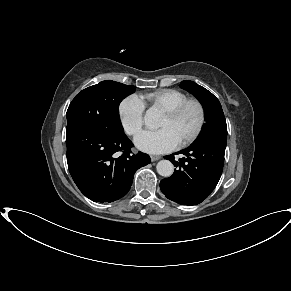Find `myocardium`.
I'll list each match as a JSON object with an SVG mask.
<instances>
[{"label": "myocardium", "instance_id": "obj_1", "mask_svg": "<svg viewBox=\"0 0 291 291\" xmlns=\"http://www.w3.org/2000/svg\"><path fill=\"white\" fill-rule=\"evenodd\" d=\"M190 106L197 107V109L199 111L198 124H197L196 129L194 130V132L190 136H188L186 139H184L183 141L178 143L179 147H186V146L192 144L201 135V133L204 129V126H205V122H206L205 107L202 104V102L199 101L198 99L188 98L187 100L180 103L176 107L164 111L165 116L174 120V119L178 118L180 115H182L183 112Z\"/></svg>", "mask_w": 291, "mask_h": 291}]
</instances>
